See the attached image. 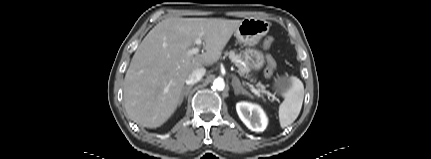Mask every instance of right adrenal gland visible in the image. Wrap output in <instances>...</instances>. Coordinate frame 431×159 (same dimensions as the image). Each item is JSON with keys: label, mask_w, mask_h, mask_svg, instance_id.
Instances as JSON below:
<instances>
[{"label": "right adrenal gland", "mask_w": 431, "mask_h": 159, "mask_svg": "<svg viewBox=\"0 0 431 159\" xmlns=\"http://www.w3.org/2000/svg\"><path fill=\"white\" fill-rule=\"evenodd\" d=\"M193 87V85H190L188 87H184L181 97H180V101H179V106L182 104L184 97H187L188 95V91Z\"/></svg>", "instance_id": "2a0ac1e0"}]
</instances>
